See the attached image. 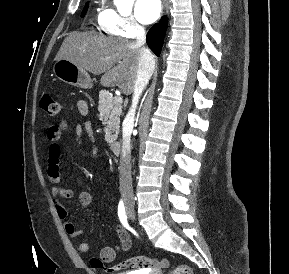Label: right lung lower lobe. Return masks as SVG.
Returning a JSON list of instances; mask_svg holds the SVG:
<instances>
[{
	"instance_id": "98d812e1",
	"label": "right lung lower lobe",
	"mask_w": 289,
	"mask_h": 274,
	"mask_svg": "<svg viewBox=\"0 0 289 274\" xmlns=\"http://www.w3.org/2000/svg\"><path fill=\"white\" fill-rule=\"evenodd\" d=\"M166 29L167 18L162 17L160 24L153 25L147 33V44L157 56L161 52Z\"/></svg>"
}]
</instances>
